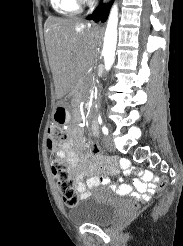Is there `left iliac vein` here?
I'll use <instances>...</instances> for the list:
<instances>
[{"instance_id":"1","label":"left iliac vein","mask_w":183,"mask_h":246,"mask_svg":"<svg viewBox=\"0 0 183 246\" xmlns=\"http://www.w3.org/2000/svg\"><path fill=\"white\" fill-rule=\"evenodd\" d=\"M104 143H105V147L109 151H114L115 150L113 138L111 136L106 137L105 140H104Z\"/></svg>"}]
</instances>
